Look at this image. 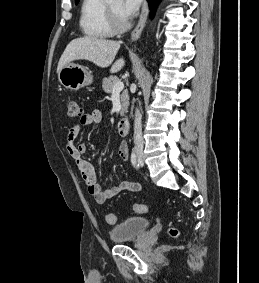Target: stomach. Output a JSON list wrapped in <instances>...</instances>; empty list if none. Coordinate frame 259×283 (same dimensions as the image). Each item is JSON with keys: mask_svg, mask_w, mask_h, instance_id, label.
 Masks as SVG:
<instances>
[{"mask_svg": "<svg viewBox=\"0 0 259 283\" xmlns=\"http://www.w3.org/2000/svg\"><path fill=\"white\" fill-rule=\"evenodd\" d=\"M58 79L61 85L71 90H78L93 82L91 73L84 67L74 63L65 65L58 73Z\"/></svg>", "mask_w": 259, "mask_h": 283, "instance_id": "0dacf381", "label": "stomach"}]
</instances>
